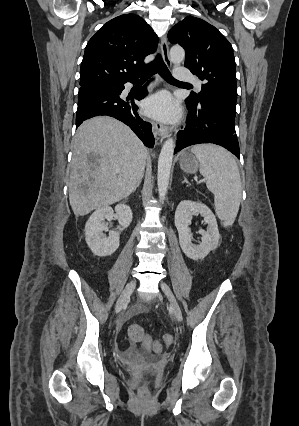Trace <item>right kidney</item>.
Returning a JSON list of instances; mask_svg holds the SVG:
<instances>
[{
	"mask_svg": "<svg viewBox=\"0 0 299 426\" xmlns=\"http://www.w3.org/2000/svg\"><path fill=\"white\" fill-rule=\"evenodd\" d=\"M115 216L119 225L127 228L132 221V210L128 205L120 203L115 206V210L110 206L98 208L89 217L84 230L85 240L94 255L109 256L118 249L120 232L110 231L108 237L103 234V231L108 229L104 220L110 221Z\"/></svg>",
	"mask_w": 299,
	"mask_h": 426,
	"instance_id": "1",
	"label": "right kidney"
}]
</instances>
